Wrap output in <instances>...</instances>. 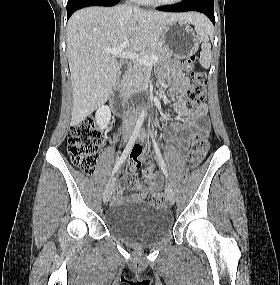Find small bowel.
Masks as SVG:
<instances>
[{"label":"small bowel","instance_id":"1","mask_svg":"<svg viewBox=\"0 0 280 285\" xmlns=\"http://www.w3.org/2000/svg\"><path fill=\"white\" fill-rule=\"evenodd\" d=\"M165 81L169 83L172 93L176 97V107L183 120V124L174 123L171 128L173 133L179 137V141L183 148H186L189 138L188 134L192 130L195 132H209V121L207 119V105L205 103L200 104L194 111H191L185 102L184 95L190 86L189 79L180 72V68L175 66L172 71V79L165 78ZM137 149L142 150L141 145L136 146ZM141 166V159H130L128 162V173L123 177L121 184L115 191L113 199L115 202L140 201L147 198L149 195L156 193L160 189V176L153 170L152 166H148L146 169H150L153 172L151 178H146L145 182L139 180L134 182V188L136 193L127 198L123 192L125 185L130 181V174L135 172Z\"/></svg>","mask_w":280,"mask_h":285}]
</instances>
